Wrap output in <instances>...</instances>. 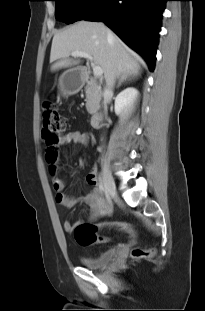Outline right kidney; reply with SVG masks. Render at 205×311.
<instances>
[{
	"label": "right kidney",
	"instance_id": "1",
	"mask_svg": "<svg viewBox=\"0 0 205 311\" xmlns=\"http://www.w3.org/2000/svg\"><path fill=\"white\" fill-rule=\"evenodd\" d=\"M139 92L134 87H128L121 91L115 99V113L121 118H126L133 109Z\"/></svg>",
	"mask_w": 205,
	"mask_h": 311
}]
</instances>
